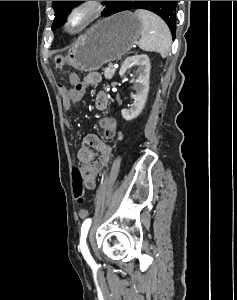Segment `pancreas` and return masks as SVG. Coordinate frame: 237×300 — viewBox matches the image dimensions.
I'll use <instances>...</instances> for the list:
<instances>
[{"instance_id":"obj_1","label":"pancreas","mask_w":237,"mask_h":300,"mask_svg":"<svg viewBox=\"0 0 237 300\" xmlns=\"http://www.w3.org/2000/svg\"><path fill=\"white\" fill-rule=\"evenodd\" d=\"M109 65H108L107 69H105V77H106V79H112V77H113V75H115V71H116V69H113V65L112 64H111L112 68H109Z\"/></svg>"}]
</instances>
